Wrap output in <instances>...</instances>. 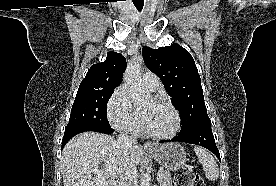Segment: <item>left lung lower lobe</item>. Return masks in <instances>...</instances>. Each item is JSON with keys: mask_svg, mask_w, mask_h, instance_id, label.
Listing matches in <instances>:
<instances>
[{"mask_svg": "<svg viewBox=\"0 0 276 186\" xmlns=\"http://www.w3.org/2000/svg\"><path fill=\"white\" fill-rule=\"evenodd\" d=\"M168 141H180L200 145L210 150L220 160V154L215 144L211 125H201L191 129L188 132L179 133L178 136L174 137L171 140H162L160 142L163 143Z\"/></svg>", "mask_w": 276, "mask_h": 186, "instance_id": "obj_1", "label": "left lung lower lobe"}]
</instances>
